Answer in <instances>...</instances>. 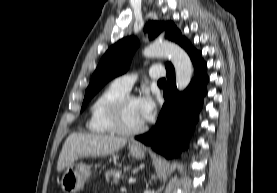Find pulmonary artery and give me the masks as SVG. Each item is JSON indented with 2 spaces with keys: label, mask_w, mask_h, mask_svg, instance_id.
Wrapping results in <instances>:
<instances>
[{
  "label": "pulmonary artery",
  "mask_w": 277,
  "mask_h": 193,
  "mask_svg": "<svg viewBox=\"0 0 277 193\" xmlns=\"http://www.w3.org/2000/svg\"><path fill=\"white\" fill-rule=\"evenodd\" d=\"M148 75L152 79H159L165 75V71L161 66L156 65L149 68ZM136 78L135 74H125L117 77L113 83L124 92H128L132 88Z\"/></svg>",
  "instance_id": "pulmonary-artery-1"
}]
</instances>
